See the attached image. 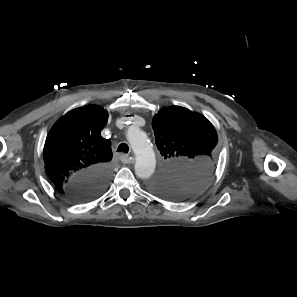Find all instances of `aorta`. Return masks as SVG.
I'll list each match as a JSON object with an SVG mask.
<instances>
[{"label":"aorta","instance_id":"obj_1","mask_svg":"<svg viewBox=\"0 0 297 297\" xmlns=\"http://www.w3.org/2000/svg\"><path fill=\"white\" fill-rule=\"evenodd\" d=\"M127 140L135 154V174L141 179H149L156 167L153 147L146 134L138 127L131 128Z\"/></svg>","mask_w":297,"mask_h":297}]
</instances>
